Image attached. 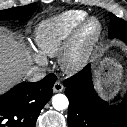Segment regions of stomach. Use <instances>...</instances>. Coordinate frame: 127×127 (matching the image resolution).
Here are the masks:
<instances>
[{
  "instance_id": "obj_1",
  "label": "stomach",
  "mask_w": 127,
  "mask_h": 127,
  "mask_svg": "<svg viewBox=\"0 0 127 127\" xmlns=\"http://www.w3.org/2000/svg\"><path fill=\"white\" fill-rule=\"evenodd\" d=\"M95 79L97 89L104 95L115 96L124 79V70L121 64L110 58L99 61L95 69Z\"/></svg>"
}]
</instances>
